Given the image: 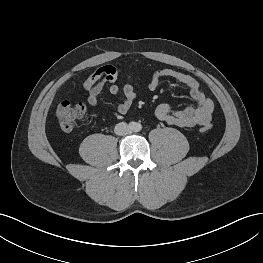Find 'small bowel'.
<instances>
[{
  "instance_id": "1",
  "label": "small bowel",
  "mask_w": 263,
  "mask_h": 263,
  "mask_svg": "<svg viewBox=\"0 0 263 263\" xmlns=\"http://www.w3.org/2000/svg\"><path fill=\"white\" fill-rule=\"evenodd\" d=\"M114 70L110 66L100 68L85 78L83 88L87 92V103L95 107L99 103V97L105 86L109 84L108 90L110 94L118 95L122 93L124 95V99L117 106V112L124 115L131 108L137 93L135 88L129 83H125L122 86L115 84L114 81L116 79L108 77L110 72ZM164 78H172L185 86L191 98L196 102V106H189L182 111H176L167 104H161L155 111L159 120L178 127L203 126L211 121L214 110L213 102L204 94L195 78L181 71L168 68L159 69L152 75L149 81V89H158L161 80Z\"/></svg>"
}]
</instances>
